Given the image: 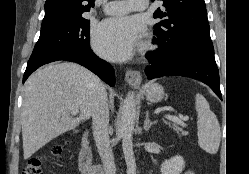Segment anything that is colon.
Instances as JSON below:
<instances>
[{"mask_svg": "<svg viewBox=\"0 0 249 174\" xmlns=\"http://www.w3.org/2000/svg\"><path fill=\"white\" fill-rule=\"evenodd\" d=\"M62 148L56 146L51 150L52 155H58ZM45 160L44 155H34L26 163L22 174H43V162Z\"/></svg>", "mask_w": 249, "mask_h": 174, "instance_id": "1", "label": "colon"}]
</instances>
